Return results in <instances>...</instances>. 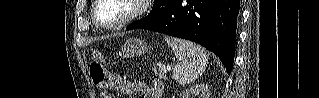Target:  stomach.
I'll list each match as a JSON object with an SVG mask.
<instances>
[{
  "label": "stomach",
  "instance_id": "0dacf381",
  "mask_svg": "<svg viewBox=\"0 0 319 98\" xmlns=\"http://www.w3.org/2000/svg\"><path fill=\"white\" fill-rule=\"evenodd\" d=\"M149 50L147 44L137 38L127 40L122 48V55L127 58L141 56Z\"/></svg>",
  "mask_w": 319,
  "mask_h": 98
}]
</instances>
